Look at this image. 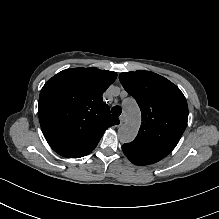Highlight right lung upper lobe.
<instances>
[{
    "label": "right lung upper lobe",
    "instance_id": "obj_1",
    "mask_svg": "<svg viewBox=\"0 0 219 219\" xmlns=\"http://www.w3.org/2000/svg\"><path fill=\"white\" fill-rule=\"evenodd\" d=\"M112 71L92 68L66 69L43 86L39 120L48 144L68 158L83 157L97 146L104 131L119 119L103 102V92L115 81Z\"/></svg>",
    "mask_w": 219,
    "mask_h": 219
}]
</instances>
